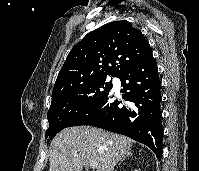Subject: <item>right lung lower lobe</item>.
<instances>
[{
    "instance_id": "1",
    "label": "right lung lower lobe",
    "mask_w": 199,
    "mask_h": 171,
    "mask_svg": "<svg viewBox=\"0 0 199 171\" xmlns=\"http://www.w3.org/2000/svg\"><path fill=\"white\" fill-rule=\"evenodd\" d=\"M117 78L121 81L122 97L114 100L110 91L99 101L72 120L67 127L88 125L128 136L147 145L162 156L161 82L153 55L138 62Z\"/></svg>"
}]
</instances>
